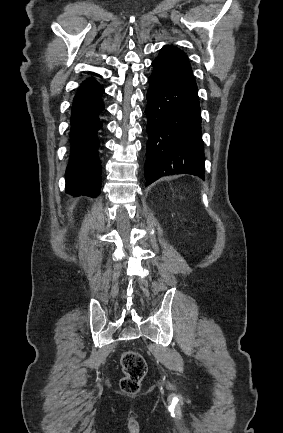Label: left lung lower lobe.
Here are the masks:
<instances>
[{
  "label": "left lung lower lobe",
  "instance_id": "0a47b994",
  "mask_svg": "<svg viewBox=\"0 0 283 433\" xmlns=\"http://www.w3.org/2000/svg\"><path fill=\"white\" fill-rule=\"evenodd\" d=\"M147 93L146 186L169 175L204 179L198 89L186 54L164 46L152 62Z\"/></svg>",
  "mask_w": 283,
  "mask_h": 433
}]
</instances>
